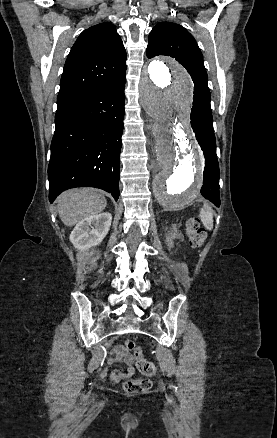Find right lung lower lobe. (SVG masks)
<instances>
[{
    "label": "right lung lower lobe",
    "mask_w": 277,
    "mask_h": 438,
    "mask_svg": "<svg viewBox=\"0 0 277 438\" xmlns=\"http://www.w3.org/2000/svg\"><path fill=\"white\" fill-rule=\"evenodd\" d=\"M125 74L57 104L48 166L51 203L73 187L100 188L118 199Z\"/></svg>",
    "instance_id": "1"
}]
</instances>
